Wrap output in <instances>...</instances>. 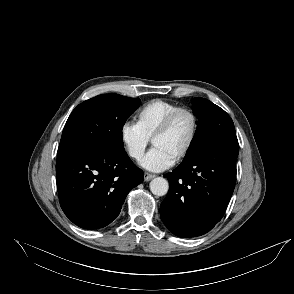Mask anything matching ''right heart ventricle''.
<instances>
[{"instance_id":"right-heart-ventricle-1","label":"right heart ventricle","mask_w":294,"mask_h":294,"mask_svg":"<svg viewBox=\"0 0 294 294\" xmlns=\"http://www.w3.org/2000/svg\"><path fill=\"white\" fill-rule=\"evenodd\" d=\"M178 107V104L167 100H152L140 108L136 115V123L150 139L163 120Z\"/></svg>"}]
</instances>
